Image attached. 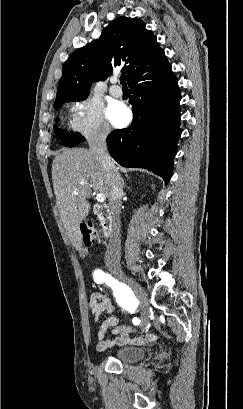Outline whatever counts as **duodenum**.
I'll list each match as a JSON object with an SVG mask.
<instances>
[{"instance_id":"1","label":"duodenum","mask_w":243,"mask_h":409,"mask_svg":"<svg viewBox=\"0 0 243 409\" xmlns=\"http://www.w3.org/2000/svg\"><path fill=\"white\" fill-rule=\"evenodd\" d=\"M94 212L100 220L103 235L106 237L109 236L113 227V213L111 208L105 204H96L94 206Z\"/></svg>"}]
</instances>
